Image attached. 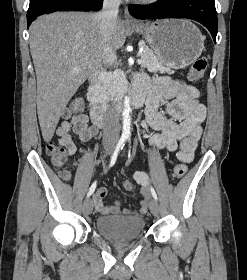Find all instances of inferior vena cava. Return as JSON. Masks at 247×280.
I'll use <instances>...</instances> for the list:
<instances>
[{
    "mask_svg": "<svg viewBox=\"0 0 247 280\" xmlns=\"http://www.w3.org/2000/svg\"><path fill=\"white\" fill-rule=\"evenodd\" d=\"M121 0H104L102 10L97 14L100 20V32L104 38L105 45L103 49L104 61L106 65H112L116 60L115 51L110 46V39L114 33ZM119 120L115 112H111L106 118V127L104 129L103 142L116 143L119 139Z\"/></svg>",
    "mask_w": 247,
    "mask_h": 280,
    "instance_id": "1",
    "label": "inferior vena cava"
}]
</instances>
